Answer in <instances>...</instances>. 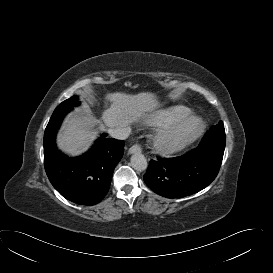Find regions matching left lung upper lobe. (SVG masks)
<instances>
[{"label":"left lung upper lobe","instance_id":"obj_1","mask_svg":"<svg viewBox=\"0 0 273 273\" xmlns=\"http://www.w3.org/2000/svg\"><path fill=\"white\" fill-rule=\"evenodd\" d=\"M200 146L214 150L219 154H224L225 149V130L223 122L220 121L216 126H213L205 135L200 143Z\"/></svg>","mask_w":273,"mask_h":273}]
</instances>
